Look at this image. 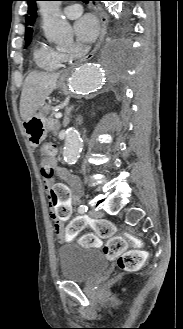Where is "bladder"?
<instances>
[{"instance_id": "bladder-1", "label": "bladder", "mask_w": 183, "mask_h": 329, "mask_svg": "<svg viewBox=\"0 0 183 329\" xmlns=\"http://www.w3.org/2000/svg\"><path fill=\"white\" fill-rule=\"evenodd\" d=\"M60 275L63 279L74 282H87L108 267V260L93 246H80L74 241L58 248Z\"/></svg>"}]
</instances>
